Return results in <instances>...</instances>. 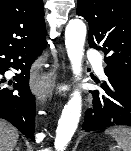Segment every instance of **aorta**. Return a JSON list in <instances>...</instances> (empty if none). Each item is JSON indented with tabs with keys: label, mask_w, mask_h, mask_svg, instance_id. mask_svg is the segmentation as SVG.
Instances as JSON below:
<instances>
[{
	"label": "aorta",
	"mask_w": 131,
	"mask_h": 151,
	"mask_svg": "<svg viewBox=\"0 0 131 151\" xmlns=\"http://www.w3.org/2000/svg\"><path fill=\"white\" fill-rule=\"evenodd\" d=\"M85 37V24L79 19L70 20L65 30V46L73 73L77 79H80L82 72ZM81 108V93L76 90L72 93L71 98L62 110L58 121L54 141L56 151H64L66 149V146L77 129L81 116Z\"/></svg>",
	"instance_id": "1"
}]
</instances>
